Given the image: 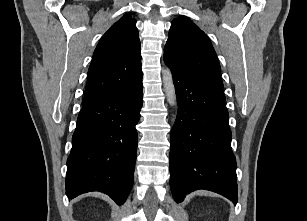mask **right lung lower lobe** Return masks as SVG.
Listing matches in <instances>:
<instances>
[{"instance_id": "98d812e1", "label": "right lung lower lobe", "mask_w": 307, "mask_h": 221, "mask_svg": "<svg viewBox=\"0 0 307 221\" xmlns=\"http://www.w3.org/2000/svg\"><path fill=\"white\" fill-rule=\"evenodd\" d=\"M143 104L142 80L135 86L82 105L67 160L68 198L100 191L123 204L133 185Z\"/></svg>"}]
</instances>
